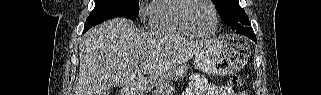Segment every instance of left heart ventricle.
Masks as SVG:
<instances>
[{"instance_id": "1", "label": "left heart ventricle", "mask_w": 321, "mask_h": 95, "mask_svg": "<svg viewBox=\"0 0 321 95\" xmlns=\"http://www.w3.org/2000/svg\"><path fill=\"white\" fill-rule=\"evenodd\" d=\"M190 18L194 25L202 32H211L214 28L212 8L204 1H196L191 9Z\"/></svg>"}]
</instances>
